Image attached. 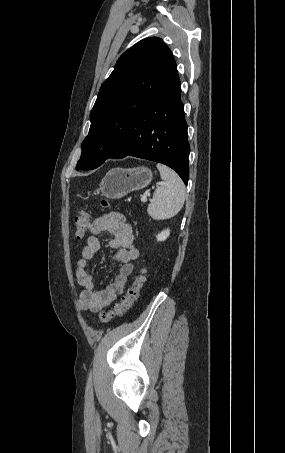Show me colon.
I'll list each match as a JSON object with an SVG mask.
<instances>
[{
	"instance_id": "5ec220e1",
	"label": "colon",
	"mask_w": 285,
	"mask_h": 453,
	"mask_svg": "<svg viewBox=\"0 0 285 453\" xmlns=\"http://www.w3.org/2000/svg\"><path fill=\"white\" fill-rule=\"evenodd\" d=\"M103 208L110 207L108 201L103 200L101 202ZM90 225V215L87 211L81 210L78 215L75 217V237L78 242H80ZM145 282V270L140 269L134 277L133 283L127 293L122 297L119 303H116L112 308L107 312H102L100 314L99 320L102 323H107L115 317L122 316L126 313L133 304L138 300L140 296V290Z\"/></svg>"
}]
</instances>
